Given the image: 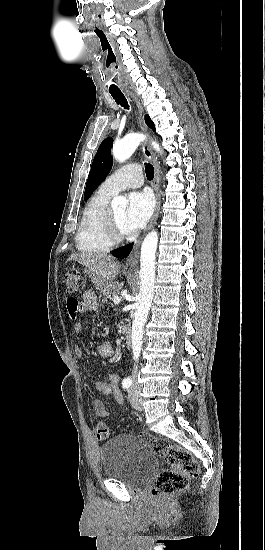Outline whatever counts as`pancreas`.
Here are the masks:
<instances>
[{
    "label": "pancreas",
    "mask_w": 265,
    "mask_h": 550,
    "mask_svg": "<svg viewBox=\"0 0 265 550\" xmlns=\"http://www.w3.org/2000/svg\"><path fill=\"white\" fill-rule=\"evenodd\" d=\"M122 285L118 281H114L110 283L107 287L103 289V295L106 299H109L110 301L113 300L114 296L119 295V290L121 289Z\"/></svg>",
    "instance_id": "1"
}]
</instances>
